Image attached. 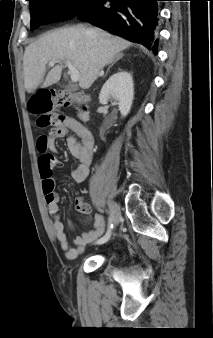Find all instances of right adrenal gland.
<instances>
[{
    "mask_svg": "<svg viewBox=\"0 0 213 338\" xmlns=\"http://www.w3.org/2000/svg\"><path fill=\"white\" fill-rule=\"evenodd\" d=\"M123 53L118 54L111 62H109V66L108 69L106 71V74L103 73V71L100 74V77H105L107 75V73L109 72L110 68H112L114 66V64L123 57Z\"/></svg>",
    "mask_w": 213,
    "mask_h": 338,
    "instance_id": "right-adrenal-gland-1",
    "label": "right adrenal gland"
}]
</instances>
